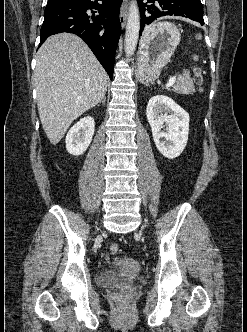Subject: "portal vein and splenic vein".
I'll use <instances>...</instances> for the list:
<instances>
[{
    "label": "portal vein and splenic vein",
    "instance_id": "18ae733b",
    "mask_svg": "<svg viewBox=\"0 0 247 332\" xmlns=\"http://www.w3.org/2000/svg\"><path fill=\"white\" fill-rule=\"evenodd\" d=\"M175 81H176V76L171 77L168 80L167 84H166V88H169V87L173 86V84L175 83Z\"/></svg>",
    "mask_w": 247,
    "mask_h": 332
}]
</instances>
